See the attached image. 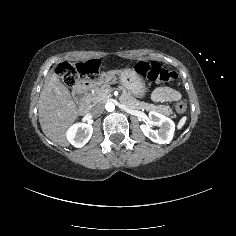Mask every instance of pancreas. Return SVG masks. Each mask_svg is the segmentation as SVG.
Listing matches in <instances>:
<instances>
[{"label":"pancreas","mask_w":236,"mask_h":236,"mask_svg":"<svg viewBox=\"0 0 236 236\" xmlns=\"http://www.w3.org/2000/svg\"><path fill=\"white\" fill-rule=\"evenodd\" d=\"M118 90L122 92L119 100L122 104L127 106L130 109H145L147 111L153 110L164 116L171 114V118L176 119V113L170 109L169 105L166 106H157L154 104H149L145 102H140L130 95L122 85H118ZM112 87L108 84H101L98 87H93L90 92L86 95L85 101L91 105L94 103H101L105 101L108 96H111Z\"/></svg>","instance_id":"obj_1"}]
</instances>
